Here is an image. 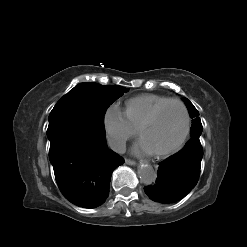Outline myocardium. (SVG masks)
<instances>
[{"label":"myocardium","instance_id":"obj_1","mask_svg":"<svg viewBox=\"0 0 247 247\" xmlns=\"http://www.w3.org/2000/svg\"><path fill=\"white\" fill-rule=\"evenodd\" d=\"M170 104H178L182 108L183 113H184V119H185L184 130L179 140L172 147L166 150H163V151L153 153L158 158L169 156L175 153L176 151H178L182 147V145L184 144V142L186 141L189 135L191 118H190L189 110L187 106L185 105V103L179 99H169L161 103L151 112V114L142 122V124L137 129V134L140 137L142 131L146 129L147 127H149L150 125H152L154 121L156 120V118L158 117V115L160 114V112Z\"/></svg>","mask_w":247,"mask_h":247}]
</instances>
